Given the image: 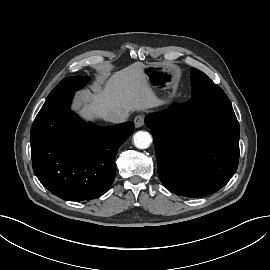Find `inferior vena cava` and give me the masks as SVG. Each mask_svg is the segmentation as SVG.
<instances>
[{"label":"inferior vena cava","mask_w":270,"mask_h":270,"mask_svg":"<svg viewBox=\"0 0 270 270\" xmlns=\"http://www.w3.org/2000/svg\"><path fill=\"white\" fill-rule=\"evenodd\" d=\"M128 114V111L115 110L107 113L105 119L109 122L119 124L126 121Z\"/></svg>","instance_id":"1"}]
</instances>
